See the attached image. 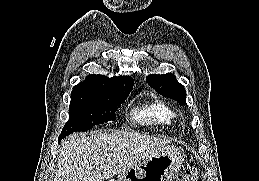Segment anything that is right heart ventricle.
Segmentation results:
<instances>
[{
	"label": "right heart ventricle",
	"mask_w": 259,
	"mask_h": 181,
	"mask_svg": "<svg viewBox=\"0 0 259 181\" xmlns=\"http://www.w3.org/2000/svg\"><path fill=\"white\" fill-rule=\"evenodd\" d=\"M131 118L145 125L171 127L178 121L179 114L165 100L153 96L133 109Z\"/></svg>",
	"instance_id": "e07e8e85"
}]
</instances>
